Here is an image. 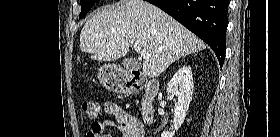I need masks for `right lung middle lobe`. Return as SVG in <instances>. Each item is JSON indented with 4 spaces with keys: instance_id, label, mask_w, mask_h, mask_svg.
<instances>
[{
    "instance_id": "right-lung-middle-lobe-1",
    "label": "right lung middle lobe",
    "mask_w": 280,
    "mask_h": 137,
    "mask_svg": "<svg viewBox=\"0 0 280 137\" xmlns=\"http://www.w3.org/2000/svg\"><path fill=\"white\" fill-rule=\"evenodd\" d=\"M97 1L98 0H81L82 10L79 15V19L83 18Z\"/></svg>"
}]
</instances>
